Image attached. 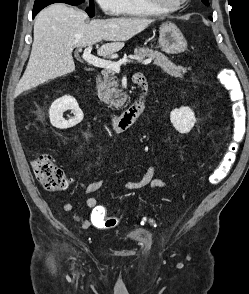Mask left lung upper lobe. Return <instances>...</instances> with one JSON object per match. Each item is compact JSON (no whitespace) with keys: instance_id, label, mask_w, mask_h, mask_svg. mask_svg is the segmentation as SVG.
Wrapping results in <instances>:
<instances>
[{"instance_id":"1","label":"left lung upper lobe","mask_w":249,"mask_h":294,"mask_svg":"<svg viewBox=\"0 0 249 294\" xmlns=\"http://www.w3.org/2000/svg\"><path fill=\"white\" fill-rule=\"evenodd\" d=\"M202 2L205 4V5H209V2H208V0H202Z\"/></svg>"}]
</instances>
